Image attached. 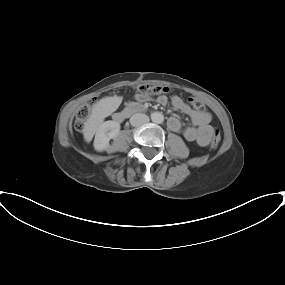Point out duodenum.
<instances>
[{
  "instance_id": "obj_1",
  "label": "duodenum",
  "mask_w": 285,
  "mask_h": 285,
  "mask_svg": "<svg viewBox=\"0 0 285 285\" xmlns=\"http://www.w3.org/2000/svg\"><path fill=\"white\" fill-rule=\"evenodd\" d=\"M142 107L130 104L126 109H124L122 112H119L115 115V120L119 122L125 121L129 116L133 115L134 113L141 111Z\"/></svg>"
}]
</instances>
